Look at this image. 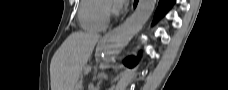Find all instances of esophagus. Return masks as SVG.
I'll return each instance as SVG.
<instances>
[{
	"instance_id": "1",
	"label": "esophagus",
	"mask_w": 228,
	"mask_h": 90,
	"mask_svg": "<svg viewBox=\"0 0 228 90\" xmlns=\"http://www.w3.org/2000/svg\"><path fill=\"white\" fill-rule=\"evenodd\" d=\"M118 30V27L117 28H114L113 30L107 32L103 38L101 39V42H106L116 31Z\"/></svg>"
}]
</instances>
